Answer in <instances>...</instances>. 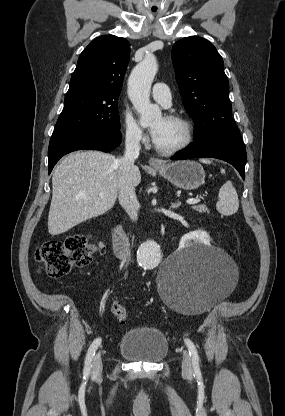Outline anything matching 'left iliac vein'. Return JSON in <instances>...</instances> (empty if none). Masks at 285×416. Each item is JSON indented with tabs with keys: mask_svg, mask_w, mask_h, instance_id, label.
<instances>
[{
	"mask_svg": "<svg viewBox=\"0 0 285 416\" xmlns=\"http://www.w3.org/2000/svg\"><path fill=\"white\" fill-rule=\"evenodd\" d=\"M182 371L183 374L187 377L192 376V363H191V357L187 351H183V360H182Z\"/></svg>",
	"mask_w": 285,
	"mask_h": 416,
	"instance_id": "1",
	"label": "left iliac vein"
}]
</instances>
